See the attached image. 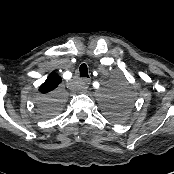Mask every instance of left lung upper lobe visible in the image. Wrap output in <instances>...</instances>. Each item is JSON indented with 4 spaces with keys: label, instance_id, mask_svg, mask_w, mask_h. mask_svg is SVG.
Listing matches in <instances>:
<instances>
[{
    "label": "left lung upper lobe",
    "instance_id": "1",
    "mask_svg": "<svg viewBox=\"0 0 174 174\" xmlns=\"http://www.w3.org/2000/svg\"><path fill=\"white\" fill-rule=\"evenodd\" d=\"M125 115V107L119 105L118 107L108 108L107 116L114 121H123Z\"/></svg>",
    "mask_w": 174,
    "mask_h": 174
}]
</instances>
